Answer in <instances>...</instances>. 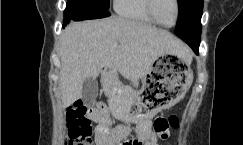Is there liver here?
<instances>
[{"label": "liver", "mask_w": 243, "mask_h": 145, "mask_svg": "<svg viewBox=\"0 0 243 145\" xmlns=\"http://www.w3.org/2000/svg\"><path fill=\"white\" fill-rule=\"evenodd\" d=\"M167 54L187 56L189 50L168 31L142 22L112 16L71 23L63 32L59 51L64 107L80 99L84 80L96 79L103 68L135 82Z\"/></svg>", "instance_id": "obj_1"}]
</instances>
